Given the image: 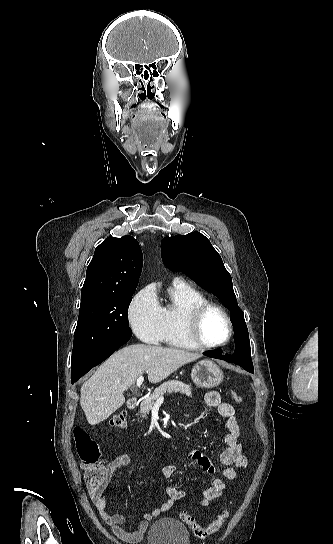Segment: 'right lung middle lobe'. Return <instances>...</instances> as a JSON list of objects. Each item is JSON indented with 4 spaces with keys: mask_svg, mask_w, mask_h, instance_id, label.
Instances as JSON below:
<instances>
[{
    "mask_svg": "<svg viewBox=\"0 0 333 544\" xmlns=\"http://www.w3.org/2000/svg\"><path fill=\"white\" fill-rule=\"evenodd\" d=\"M134 292L109 293L80 305L71 367L111 339L122 334H132L128 323V307Z\"/></svg>",
    "mask_w": 333,
    "mask_h": 544,
    "instance_id": "dd1d6c3e",
    "label": "right lung middle lobe"
}]
</instances>
